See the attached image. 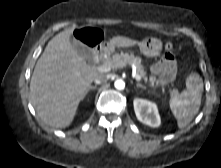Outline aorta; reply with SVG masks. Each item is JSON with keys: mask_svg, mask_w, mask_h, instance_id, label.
Wrapping results in <instances>:
<instances>
[{"mask_svg": "<svg viewBox=\"0 0 221 168\" xmlns=\"http://www.w3.org/2000/svg\"><path fill=\"white\" fill-rule=\"evenodd\" d=\"M114 86L117 90H123L125 88V82L122 79H117Z\"/></svg>", "mask_w": 221, "mask_h": 168, "instance_id": "obj_1", "label": "aorta"}]
</instances>
